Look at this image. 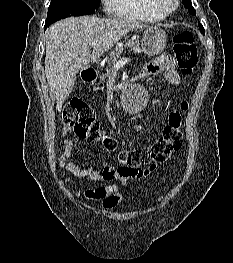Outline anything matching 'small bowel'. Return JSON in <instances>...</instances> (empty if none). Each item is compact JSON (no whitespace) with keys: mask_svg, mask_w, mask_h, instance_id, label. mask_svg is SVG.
Here are the masks:
<instances>
[{"mask_svg":"<svg viewBox=\"0 0 233 263\" xmlns=\"http://www.w3.org/2000/svg\"><path fill=\"white\" fill-rule=\"evenodd\" d=\"M141 73L143 76L164 74L168 83L174 86H178L181 83L180 75L175 70L171 56L168 54H163L157 59L147 63ZM71 132L72 130L70 128L64 127L62 135L66 137ZM73 146L74 142L72 139H64L59 164L77 177L81 184L87 183V177L92 182H112L111 184L89 189L85 192L86 199L90 201H100L104 209H112L122 200V190L120 186L115 183L116 181L141 177L154 169V167H151L148 170H142L138 176H130L122 174L118 167L109 165L105 161H100L96 166L78 168L72 160ZM65 181H68V179Z\"/></svg>","mask_w":233,"mask_h":263,"instance_id":"1","label":"small bowel"}]
</instances>
